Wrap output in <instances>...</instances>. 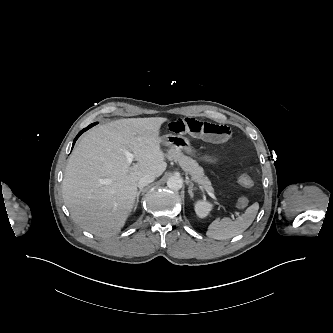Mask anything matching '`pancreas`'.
I'll return each mask as SVG.
<instances>
[{
  "mask_svg": "<svg viewBox=\"0 0 333 333\" xmlns=\"http://www.w3.org/2000/svg\"><path fill=\"white\" fill-rule=\"evenodd\" d=\"M167 157L169 160L178 162L182 169L191 176V180L197 183L202 189L214 192L210 180L205 176L204 170L195 160L185 156L180 150L174 148L168 150Z\"/></svg>",
  "mask_w": 333,
  "mask_h": 333,
  "instance_id": "cf45deb5",
  "label": "pancreas"
}]
</instances>
